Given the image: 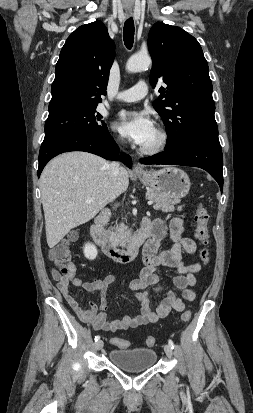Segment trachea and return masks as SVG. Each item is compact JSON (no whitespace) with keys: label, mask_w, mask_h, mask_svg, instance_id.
<instances>
[{"label":"trachea","mask_w":253,"mask_h":413,"mask_svg":"<svg viewBox=\"0 0 253 413\" xmlns=\"http://www.w3.org/2000/svg\"><path fill=\"white\" fill-rule=\"evenodd\" d=\"M134 21L133 18L130 17L125 21L124 24V43L128 49H131L134 43Z\"/></svg>","instance_id":"obj_1"}]
</instances>
